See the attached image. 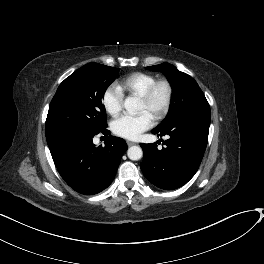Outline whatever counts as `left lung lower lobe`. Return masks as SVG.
<instances>
[{"mask_svg":"<svg viewBox=\"0 0 264 264\" xmlns=\"http://www.w3.org/2000/svg\"><path fill=\"white\" fill-rule=\"evenodd\" d=\"M210 113H195L178 120L163 130H152L157 136L168 135L164 147L140 144L144 176L155 186L173 190L187 183L197 172L203 158L209 133Z\"/></svg>","mask_w":264,"mask_h":264,"instance_id":"left-lung-lower-lobe-1","label":"left lung lower lobe"}]
</instances>
